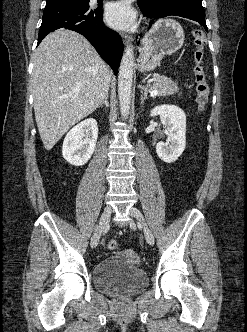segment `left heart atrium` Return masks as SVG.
<instances>
[{
	"instance_id": "obj_1",
	"label": "left heart atrium",
	"mask_w": 247,
	"mask_h": 332,
	"mask_svg": "<svg viewBox=\"0 0 247 332\" xmlns=\"http://www.w3.org/2000/svg\"><path fill=\"white\" fill-rule=\"evenodd\" d=\"M105 20L115 29H128L136 20V13L126 0L108 4L105 11Z\"/></svg>"
}]
</instances>
